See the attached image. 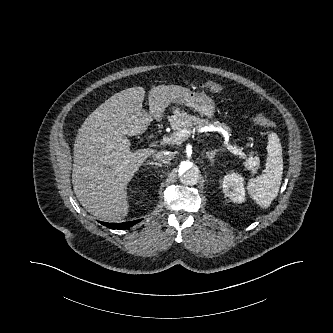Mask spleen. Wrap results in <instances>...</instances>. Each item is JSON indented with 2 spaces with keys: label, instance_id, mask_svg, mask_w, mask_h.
<instances>
[{
  "label": "spleen",
  "instance_id": "obj_1",
  "mask_svg": "<svg viewBox=\"0 0 333 333\" xmlns=\"http://www.w3.org/2000/svg\"><path fill=\"white\" fill-rule=\"evenodd\" d=\"M267 162L263 173L248 181L247 189L252 199L267 208L277 197L283 174L282 147L275 133L268 137Z\"/></svg>",
  "mask_w": 333,
  "mask_h": 333
}]
</instances>
